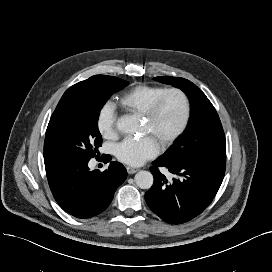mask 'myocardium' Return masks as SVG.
I'll list each match as a JSON object with an SVG mask.
<instances>
[{"label": "myocardium", "mask_w": 272, "mask_h": 272, "mask_svg": "<svg viewBox=\"0 0 272 272\" xmlns=\"http://www.w3.org/2000/svg\"><path fill=\"white\" fill-rule=\"evenodd\" d=\"M173 94L177 95L182 101L183 115L177 128L171 132L161 143L162 148L171 145L185 131L189 123L191 115V104L188 95L180 88H168L152 102L148 110L143 115L147 121H153L158 115L165 99Z\"/></svg>", "instance_id": "1"}]
</instances>
